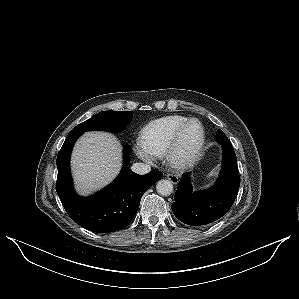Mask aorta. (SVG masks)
Segmentation results:
<instances>
[{"label":"aorta","instance_id":"762f6f07","mask_svg":"<svg viewBox=\"0 0 299 299\" xmlns=\"http://www.w3.org/2000/svg\"><path fill=\"white\" fill-rule=\"evenodd\" d=\"M156 190L162 196H169L173 192V184L170 180L161 179L157 182Z\"/></svg>","mask_w":299,"mask_h":299}]
</instances>
